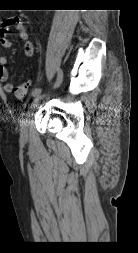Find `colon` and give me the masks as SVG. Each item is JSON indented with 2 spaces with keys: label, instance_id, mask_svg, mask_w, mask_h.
I'll return each mask as SVG.
<instances>
[{
  "label": "colon",
  "instance_id": "colon-1",
  "mask_svg": "<svg viewBox=\"0 0 138 253\" xmlns=\"http://www.w3.org/2000/svg\"><path fill=\"white\" fill-rule=\"evenodd\" d=\"M15 97L19 100H24L29 94V83L21 82L14 88Z\"/></svg>",
  "mask_w": 138,
  "mask_h": 253
}]
</instances>
